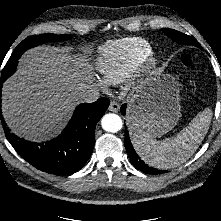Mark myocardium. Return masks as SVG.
Masks as SVG:
<instances>
[{
    "mask_svg": "<svg viewBox=\"0 0 221 221\" xmlns=\"http://www.w3.org/2000/svg\"><path fill=\"white\" fill-rule=\"evenodd\" d=\"M157 60V53L153 50H150V52L145 56L139 67H141L144 71H150L156 65Z\"/></svg>",
    "mask_w": 221,
    "mask_h": 221,
    "instance_id": "1",
    "label": "myocardium"
}]
</instances>
